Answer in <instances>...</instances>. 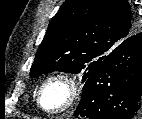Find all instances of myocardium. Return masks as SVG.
Instances as JSON below:
<instances>
[{
	"label": "myocardium",
	"mask_w": 142,
	"mask_h": 119,
	"mask_svg": "<svg viewBox=\"0 0 142 119\" xmlns=\"http://www.w3.org/2000/svg\"><path fill=\"white\" fill-rule=\"evenodd\" d=\"M54 83H60L65 87L66 98L63 103L57 107H47L43 103V96L46 89ZM79 94L80 85L75 76L70 75L68 73H57L47 77L46 80L40 86L37 93V104L39 108L47 114H61L75 105Z\"/></svg>",
	"instance_id": "myocardium-1"
}]
</instances>
